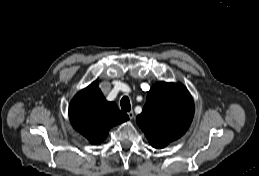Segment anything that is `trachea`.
<instances>
[{
    "label": "trachea",
    "instance_id": "obj_1",
    "mask_svg": "<svg viewBox=\"0 0 259 176\" xmlns=\"http://www.w3.org/2000/svg\"><path fill=\"white\" fill-rule=\"evenodd\" d=\"M120 105H121L122 110H124V111H130L131 110L130 100L127 96H124L121 99Z\"/></svg>",
    "mask_w": 259,
    "mask_h": 176
}]
</instances>
